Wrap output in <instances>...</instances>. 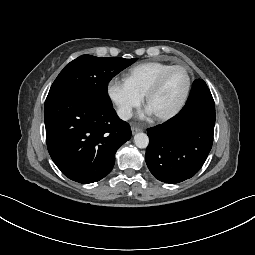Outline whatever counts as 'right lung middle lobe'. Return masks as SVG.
Returning a JSON list of instances; mask_svg holds the SVG:
<instances>
[{"label": "right lung middle lobe", "mask_w": 255, "mask_h": 255, "mask_svg": "<svg viewBox=\"0 0 255 255\" xmlns=\"http://www.w3.org/2000/svg\"><path fill=\"white\" fill-rule=\"evenodd\" d=\"M136 60L137 58H100L82 55L64 67L53 82L49 94L76 93L93 98L101 105L112 108L107 91L108 83Z\"/></svg>", "instance_id": "right-lung-middle-lobe-1"}]
</instances>
